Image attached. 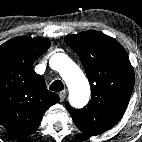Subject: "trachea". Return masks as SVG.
I'll return each instance as SVG.
<instances>
[{"mask_svg":"<svg viewBox=\"0 0 142 142\" xmlns=\"http://www.w3.org/2000/svg\"><path fill=\"white\" fill-rule=\"evenodd\" d=\"M51 91H62L64 89V85L60 80H55L49 87Z\"/></svg>","mask_w":142,"mask_h":142,"instance_id":"3493384b","label":"trachea"}]
</instances>
